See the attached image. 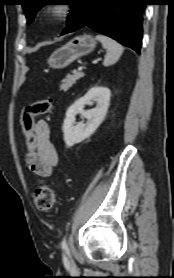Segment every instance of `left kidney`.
I'll use <instances>...</instances> for the list:
<instances>
[{
  "instance_id": "5707ae66",
  "label": "left kidney",
  "mask_w": 174,
  "mask_h": 278,
  "mask_svg": "<svg viewBox=\"0 0 174 278\" xmlns=\"http://www.w3.org/2000/svg\"><path fill=\"white\" fill-rule=\"evenodd\" d=\"M111 92L106 87H93L83 97L75 101L67 110L63 123L64 141L67 147L82 142L90 137L100 126L109 107ZM95 101L96 107L88 111L84 106ZM81 114L87 119V123L75 124V116Z\"/></svg>"
}]
</instances>
